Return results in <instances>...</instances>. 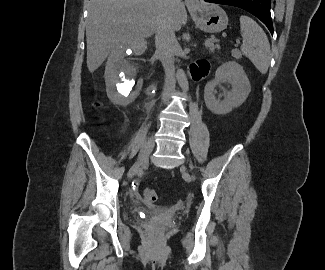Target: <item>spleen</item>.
<instances>
[{
	"label": "spleen",
	"instance_id": "obj_1",
	"mask_svg": "<svg viewBox=\"0 0 325 270\" xmlns=\"http://www.w3.org/2000/svg\"><path fill=\"white\" fill-rule=\"evenodd\" d=\"M240 30L243 39L242 53L251 60L254 66L266 74L270 64V44L263 29L251 17H240Z\"/></svg>",
	"mask_w": 325,
	"mask_h": 270
}]
</instances>
